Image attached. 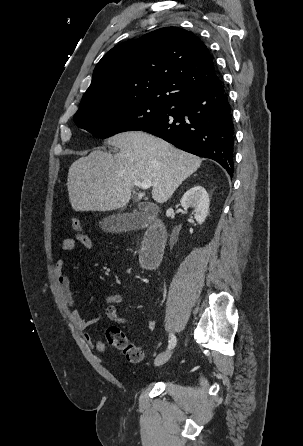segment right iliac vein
I'll return each instance as SVG.
<instances>
[{
	"instance_id": "1",
	"label": "right iliac vein",
	"mask_w": 303,
	"mask_h": 446,
	"mask_svg": "<svg viewBox=\"0 0 303 446\" xmlns=\"http://www.w3.org/2000/svg\"><path fill=\"white\" fill-rule=\"evenodd\" d=\"M171 355H172V351H170V350H169V351L162 352L161 354H159V355L156 357V359H155V361H154V364H155L156 366L163 365L164 363H166V362L170 359Z\"/></svg>"
}]
</instances>
